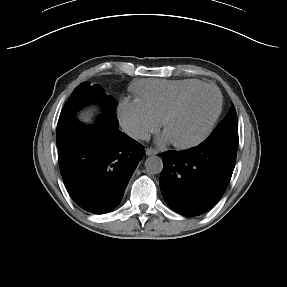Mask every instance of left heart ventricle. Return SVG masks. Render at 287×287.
I'll use <instances>...</instances> for the list:
<instances>
[{
  "label": "left heart ventricle",
  "instance_id": "b2bd125f",
  "mask_svg": "<svg viewBox=\"0 0 287 287\" xmlns=\"http://www.w3.org/2000/svg\"><path fill=\"white\" fill-rule=\"evenodd\" d=\"M216 94L208 89L197 91L169 122L166 134L172 141L184 142L198 136L206 127L216 108Z\"/></svg>",
  "mask_w": 287,
  "mask_h": 287
}]
</instances>
